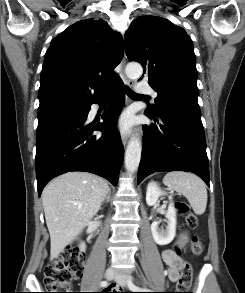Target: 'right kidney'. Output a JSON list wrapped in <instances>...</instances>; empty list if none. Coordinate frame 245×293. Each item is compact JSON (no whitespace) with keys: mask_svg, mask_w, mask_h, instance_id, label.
<instances>
[{"mask_svg":"<svg viewBox=\"0 0 245 293\" xmlns=\"http://www.w3.org/2000/svg\"><path fill=\"white\" fill-rule=\"evenodd\" d=\"M85 249H86L85 243L81 242V244H80V250L81 251H85Z\"/></svg>","mask_w":245,"mask_h":293,"instance_id":"1","label":"right kidney"}]
</instances>
